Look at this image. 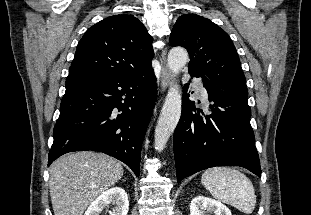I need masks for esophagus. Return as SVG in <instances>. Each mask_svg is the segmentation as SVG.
Here are the masks:
<instances>
[{"mask_svg":"<svg viewBox=\"0 0 311 215\" xmlns=\"http://www.w3.org/2000/svg\"><path fill=\"white\" fill-rule=\"evenodd\" d=\"M161 63H162V70H161V88L164 91L169 84L171 83V75L166 65V49L162 51L161 54Z\"/></svg>","mask_w":311,"mask_h":215,"instance_id":"1","label":"esophagus"}]
</instances>
